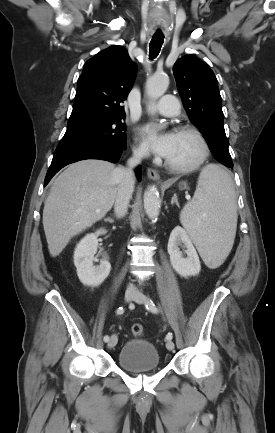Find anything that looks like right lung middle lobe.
<instances>
[{
  "label": "right lung middle lobe",
  "mask_w": 275,
  "mask_h": 433,
  "mask_svg": "<svg viewBox=\"0 0 275 433\" xmlns=\"http://www.w3.org/2000/svg\"><path fill=\"white\" fill-rule=\"evenodd\" d=\"M124 117L82 116L70 118L57 149L103 145L126 146Z\"/></svg>",
  "instance_id": "right-lung-middle-lobe-1"
}]
</instances>
